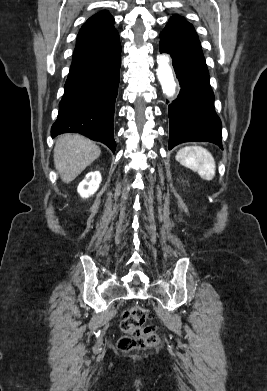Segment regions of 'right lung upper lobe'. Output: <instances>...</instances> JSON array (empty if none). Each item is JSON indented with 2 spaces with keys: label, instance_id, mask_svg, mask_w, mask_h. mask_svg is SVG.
Instances as JSON below:
<instances>
[{
  "label": "right lung upper lobe",
  "instance_id": "cb5924a9",
  "mask_svg": "<svg viewBox=\"0 0 267 391\" xmlns=\"http://www.w3.org/2000/svg\"><path fill=\"white\" fill-rule=\"evenodd\" d=\"M114 18L107 11L90 17L78 33L72 61H76L113 47L119 42Z\"/></svg>",
  "mask_w": 267,
  "mask_h": 391
}]
</instances>
